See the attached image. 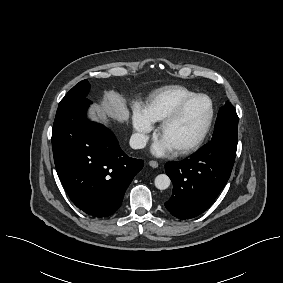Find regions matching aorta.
Instances as JSON below:
<instances>
[{
	"label": "aorta",
	"instance_id": "762f6f07",
	"mask_svg": "<svg viewBox=\"0 0 283 283\" xmlns=\"http://www.w3.org/2000/svg\"><path fill=\"white\" fill-rule=\"evenodd\" d=\"M155 186L159 190H165L170 186L171 180L166 174H159L155 178Z\"/></svg>",
	"mask_w": 283,
	"mask_h": 283
}]
</instances>
